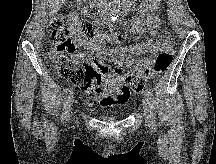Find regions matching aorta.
Returning a JSON list of instances; mask_svg holds the SVG:
<instances>
[{"instance_id":"762f6f07","label":"aorta","mask_w":216,"mask_h":164,"mask_svg":"<svg viewBox=\"0 0 216 164\" xmlns=\"http://www.w3.org/2000/svg\"><path fill=\"white\" fill-rule=\"evenodd\" d=\"M109 6L111 14L117 16L120 11V0H110Z\"/></svg>"}]
</instances>
